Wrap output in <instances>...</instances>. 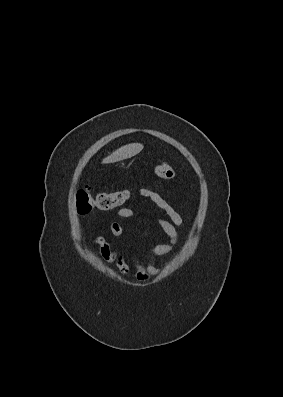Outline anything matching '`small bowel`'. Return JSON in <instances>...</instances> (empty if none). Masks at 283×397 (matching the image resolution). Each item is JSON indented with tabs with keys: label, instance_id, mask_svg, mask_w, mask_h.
<instances>
[{
	"label": "small bowel",
	"instance_id": "c3829d8e",
	"mask_svg": "<svg viewBox=\"0 0 283 397\" xmlns=\"http://www.w3.org/2000/svg\"><path fill=\"white\" fill-rule=\"evenodd\" d=\"M138 194L152 201L167 216V219H165L126 207L116 211V215L119 218L135 220L146 219L156 224L168 237V242L156 244L151 248L150 257L147 262L140 261L137 258L132 260L135 278L138 281L145 282L160 273L161 269L156 265L155 260L158 257L169 254L174 249L178 241L177 228L183 225L184 220L181 215L154 190L140 188ZM109 231L113 236L118 238H125L127 236L123 226L117 221H112L110 223ZM95 243L98 245L100 255L104 261L115 264L122 275L127 276L130 274L131 266L119 249L112 248L103 236H97L95 238Z\"/></svg>",
	"mask_w": 283,
	"mask_h": 397
}]
</instances>
